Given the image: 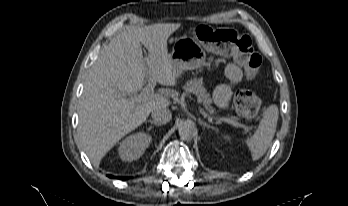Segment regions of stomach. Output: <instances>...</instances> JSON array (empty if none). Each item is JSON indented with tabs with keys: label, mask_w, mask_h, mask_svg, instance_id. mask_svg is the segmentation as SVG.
<instances>
[{
	"label": "stomach",
	"mask_w": 348,
	"mask_h": 206,
	"mask_svg": "<svg viewBox=\"0 0 348 206\" xmlns=\"http://www.w3.org/2000/svg\"><path fill=\"white\" fill-rule=\"evenodd\" d=\"M169 60L178 77L185 70L202 68L206 53L194 37L183 35L175 39Z\"/></svg>",
	"instance_id": "0dacf381"
}]
</instances>
